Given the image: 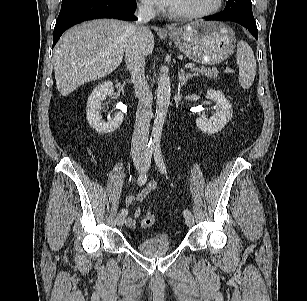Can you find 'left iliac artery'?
I'll return each mask as SVG.
<instances>
[{"label": "left iliac artery", "mask_w": 307, "mask_h": 301, "mask_svg": "<svg viewBox=\"0 0 307 301\" xmlns=\"http://www.w3.org/2000/svg\"><path fill=\"white\" fill-rule=\"evenodd\" d=\"M154 159H155V162L158 166V169L162 172V173H166V166H165V163H164V160H163V156H162V151H161V148L160 146H156L154 148ZM184 216H187L190 213V211L188 209H185L184 212H183Z\"/></svg>", "instance_id": "44dca946"}]
</instances>
